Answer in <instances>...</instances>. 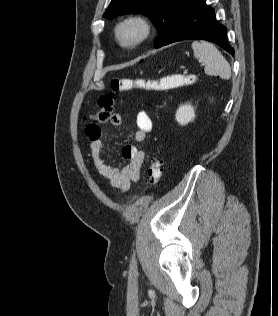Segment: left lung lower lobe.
I'll return each mask as SVG.
<instances>
[{
  "mask_svg": "<svg viewBox=\"0 0 278 316\" xmlns=\"http://www.w3.org/2000/svg\"><path fill=\"white\" fill-rule=\"evenodd\" d=\"M226 34L227 29L216 21L213 8L207 6L204 0H190L175 30L164 45L183 40L202 39L214 42L234 55L233 48L227 42Z\"/></svg>",
  "mask_w": 278,
  "mask_h": 316,
  "instance_id": "obj_1",
  "label": "left lung lower lobe"
}]
</instances>
